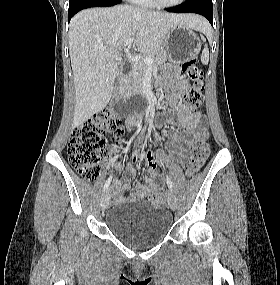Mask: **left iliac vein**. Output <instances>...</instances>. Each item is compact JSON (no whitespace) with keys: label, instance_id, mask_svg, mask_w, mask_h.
<instances>
[{"label":"left iliac vein","instance_id":"4c4485c4","mask_svg":"<svg viewBox=\"0 0 280 285\" xmlns=\"http://www.w3.org/2000/svg\"><path fill=\"white\" fill-rule=\"evenodd\" d=\"M168 206L172 211H175L176 209V198L174 196V194L171 191H168Z\"/></svg>","mask_w":280,"mask_h":285}]
</instances>
